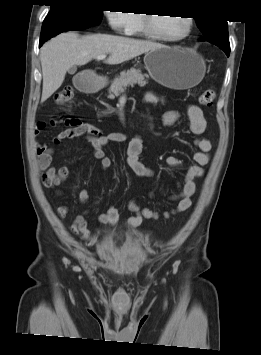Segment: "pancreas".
<instances>
[{
    "mask_svg": "<svg viewBox=\"0 0 261 355\" xmlns=\"http://www.w3.org/2000/svg\"><path fill=\"white\" fill-rule=\"evenodd\" d=\"M147 75H143L140 69L131 68L127 71L120 73V76L116 77L109 88V98H114L120 93H123L128 86L138 84L143 87L147 84L145 80Z\"/></svg>",
    "mask_w": 261,
    "mask_h": 355,
    "instance_id": "pancreas-1",
    "label": "pancreas"
}]
</instances>
